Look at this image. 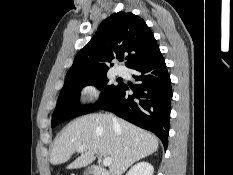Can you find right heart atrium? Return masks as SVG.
<instances>
[{"instance_id": "d8ad5b80", "label": "right heart atrium", "mask_w": 233, "mask_h": 175, "mask_svg": "<svg viewBox=\"0 0 233 175\" xmlns=\"http://www.w3.org/2000/svg\"><path fill=\"white\" fill-rule=\"evenodd\" d=\"M82 98L86 101H97L100 97V90L95 84H85L80 90Z\"/></svg>"}]
</instances>
